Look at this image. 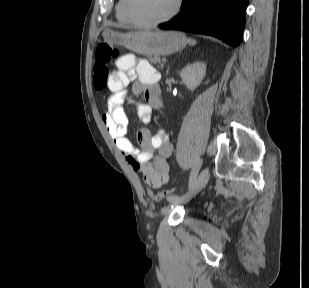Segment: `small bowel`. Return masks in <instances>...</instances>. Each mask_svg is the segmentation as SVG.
<instances>
[{
    "instance_id": "small-bowel-1",
    "label": "small bowel",
    "mask_w": 309,
    "mask_h": 288,
    "mask_svg": "<svg viewBox=\"0 0 309 288\" xmlns=\"http://www.w3.org/2000/svg\"><path fill=\"white\" fill-rule=\"evenodd\" d=\"M157 72L150 62L136 59L127 54L116 62V69L109 80L111 95L102 115L110 137L117 149L124 155L130 167L142 175L144 182L153 189L165 185L169 178L170 166L167 159L172 155L173 146L166 131L158 128L155 133L139 129L136 147L127 137L128 119L124 105H136L138 116L144 123L151 120L153 111L163 107L161 91L156 83ZM133 83L131 90L128 89ZM143 95L144 102H136L135 97Z\"/></svg>"
}]
</instances>
